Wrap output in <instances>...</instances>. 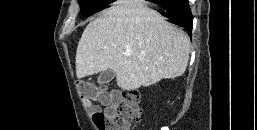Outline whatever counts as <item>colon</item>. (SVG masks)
Here are the masks:
<instances>
[{
  "instance_id": "5ec220e1",
  "label": "colon",
  "mask_w": 257,
  "mask_h": 130,
  "mask_svg": "<svg viewBox=\"0 0 257 130\" xmlns=\"http://www.w3.org/2000/svg\"><path fill=\"white\" fill-rule=\"evenodd\" d=\"M78 91L82 97L92 98L97 92L105 93L106 87H98L89 81H80ZM141 117L140 94L136 90L124 91L121 94V104L111 112H94L93 122L98 130H130Z\"/></svg>"
}]
</instances>
